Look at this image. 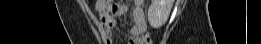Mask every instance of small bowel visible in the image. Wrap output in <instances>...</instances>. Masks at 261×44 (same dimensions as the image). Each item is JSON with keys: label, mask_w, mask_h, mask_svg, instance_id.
<instances>
[{"label": "small bowel", "mask_w": 261, "mask_h": 44, "mask_svg": "<svg viewBox=\"0 0 261 44\" xmlns=\"http://www.w3.org/2000/svg\"><path fill=\"white\" fill-rule=\"evenodd\" d=\"M143 1L136 0L132 10L133 24L130 28V44H137L136 38L141 36L146 31V19L142 9ZM96 9L100 14L102 37L107 44L115 43L114 29L116 27L115 16L122 15L125 11L119 6H97Z\"/></svg>", "instance_id": "c3829d8e"}]
</instances>
